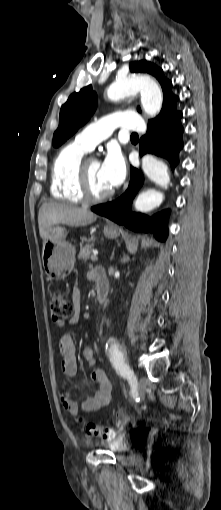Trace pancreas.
<instances>
[{"label": "pancreas", "mask_w": 221, "mask_h": 510, "mask_svg": "<svg viewBox=\"0 0 221 510\" xmlns=\"http://www.w3.org/2000/svg\"><path fill=\"white\" fill-rule=\"evenodd\" d=\"M93 246H94L93 244H87L84 247H82L78 254V258L81 259L82 261H87L90 257Z\"/></svg>", "instance_id": "1"}]
</instances>
